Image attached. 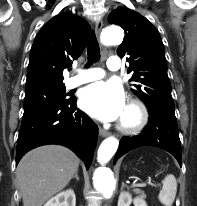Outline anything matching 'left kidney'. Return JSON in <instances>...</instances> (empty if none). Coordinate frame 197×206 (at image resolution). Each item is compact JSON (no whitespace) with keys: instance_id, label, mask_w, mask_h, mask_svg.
<instances>
[{"instance_id":"1","label":"left kidney","mask_w":197,"mask_h":206,"mask_svg":"<svg viewBox=\"0 0 197 206\" xmlns=\"http://www.w3.org/2000/svg\"><path fill=\"white\" fill-rule=\"evenodd\" d=\"M133 202L134 206H147L145 200L141 197H136L132 199L129 192H121L118 199V206H130Z\"/></svg>"}]
</instances>
